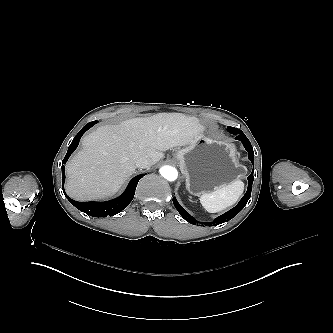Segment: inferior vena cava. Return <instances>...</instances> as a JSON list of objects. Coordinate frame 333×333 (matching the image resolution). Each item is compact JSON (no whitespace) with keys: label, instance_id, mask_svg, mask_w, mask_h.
<instances>
[{"label":"inferior vena cava","instance_id":"obj_1","mask_svg":"<svg viewBox=\"0 0 333 333\" xmlns=\"http://www.w3.org/2000/svg\"><path fill=\"white\" fill-rule=\"evenodd\" d=\"M136 166L139 168H147L151 166V164L147 157L142 156L136 160Z\"/></svg>","mask_w":333,"mask_h":333}]
</instances>
